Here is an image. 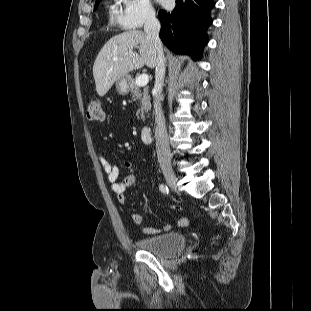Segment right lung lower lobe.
<instances>
[{
	"label": "right lung lower lobe",
	"instance_id": "right-lung-lower-lobe-1",
	"mask_svg": "<svg viewBox=\"0 0 311 311\" xmlns=\"http://www.w3.org/2000/svg\"><path fill=\"white\" fill-rule=\"evenodd\" d=\"M214 0H176L173 11L160 10V38L173 52L200 56L208 43L207 28Z\"/></svg>",
	"mask_w": 311,
	"mask_h": 311
}]
</instances>
